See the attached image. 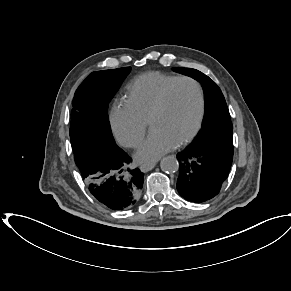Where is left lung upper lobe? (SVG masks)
<instances>
[{
    "label": "left lung upper lobe",
    "mask_w": 291,
    "mask_h": 291,
    "mask_svg": "<svg viewBox=\"0 0 291 291\" xmlns=\"http://www.w3.org/2000/svg\"><path fill=\"white\" fill-rule=\"evenodd\" d=\"M173 70L200 82L205 96L206 106L202 128L188 146L210 147L233 153V126L220 88L207 75L196 69L175 67Z\"/></svg>",
    "instance_id": "1"
}]
</instances>
